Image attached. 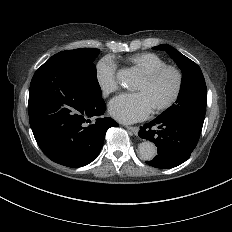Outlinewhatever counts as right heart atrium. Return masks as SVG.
<instances>
[{"mask_svg":"<svg viewBox=\"0 0 232 232\" xmlns=\"http://www.w3.org/2000/svg\"><path fill=\"white\" fill-rule=\"evenodd\" d=\"M116 70L117 65L110 56L102 57L96 64V81L105 94H110L118 88L117 82L114 78Z\"/></svg>","mask_w":232,"mask_h":232,"instance_id":"right-heart-atrium-1","label":"right heart atrium"}]
</instances>
